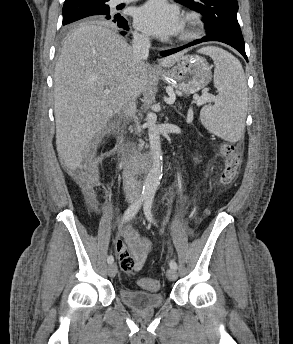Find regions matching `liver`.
<instances>
[{"label":"liver","instance_id":"liver-1","mask_svg":"<svg viewBox=\"0 0 293 344\" xmlns=\"http://www.w3.org/2000/svg\"><path fill=\"white\" fill-rule=\"evenodd\" d=\"M184 53L161 59L160 65L171 67ZM132 64V47L108 27L83 25L64 41L54 72V113L56 147L65 168L80 166L87 145L121 110L122 87ZM133 83L136 97L147 90L144 62Z\"/></svg>","mask_w":293,"mask_h":344}]
</instances>
